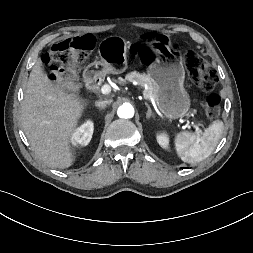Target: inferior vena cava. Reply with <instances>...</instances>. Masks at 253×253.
Wrapping results in <instances>:
<instances>
[{
	"label": "inferior vena cava",
	"instance_id": "602c4592",
	"mask_svg": "<svg viewBox=\"0 0 253 253\" xmlns=\"http://www.w3.org/2000/svg\"><path fill=\"white\" fill-rule=\"evenodd\" d=\"M112 102H113L112 99H105V100L97 101L95 104L98 106L106 107L107 105L111 104Z\"/></svg>",
	"mask_w": 253,
	"mask_h": 253
}]
</instances>
